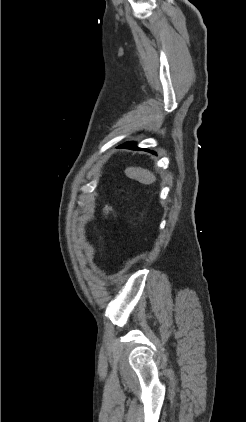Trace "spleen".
Listing matches in <instances>:
<instances>
[{
	"label": "spleen",
	"instance_id": "obj_1",
	"mask_svg": "<svg viewBox=\"0 0 246 422\" xmlns=\"http://www.w3.org/2000/svg\"><path fill=\"white\" fill-rule=\"evenodd\" d=\"M125 174L128 178L137 180L145 185H150L156 180L153 173L141 167H127L125 169Z\"/></svg>",
	"mask_w": 246,
	"mask_h": 422
}]
</instances>
